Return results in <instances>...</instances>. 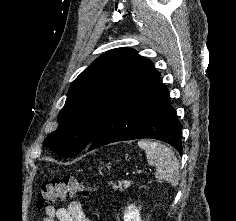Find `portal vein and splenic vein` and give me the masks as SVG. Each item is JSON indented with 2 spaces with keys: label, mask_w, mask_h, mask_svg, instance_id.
Instances as JSON below:
<instances>
[{
  "label": "portal vein and splenic vein",
  "mask_w": 236,
  "mask_h": 221,
  "mask_svg": "<svg viewBox=\"0 0 236 221\" xmlns=\"http://www.w3.org/2000/svg\"><path fill=\"white\" fill-rule=\"evenodd\" d=\"M141 172H142L141 169H138V170H137V173H141ZM123 184H124V186H128L129 182H128L127 180H124V181H123Z\"/></svg>",
  "instance_id": "obj_1"
}]
</instances>
